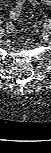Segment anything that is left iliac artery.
<instances>
[{
	"label": "left iliac artery",
	"mask_w": 51,
	"mask_h": 153,
	"mask_svg": "<svg viewBox=\"0 0 51 153\" xmlns=\"http://www.w3.org/2000/svg\"><path fill=\"white\" fill-rule=\"evenodd\" d=\"M49 23H50V25H51V20H49Z\"/></svg>",
	"instance_id": "obj_1"
}]
</instances>
